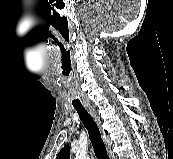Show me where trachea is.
I'll list each match as a JSON object with an SVG mask.
<instances>
[{
	"label": "trachea",
	"instance_id": "3493384b",
	"mask_svg": "<svg viewBox=\"0 0 173 159\" xmlns=\"http://www.w3.org/2000/svg\"><path fill=\"white\" fill-rule=\"evenodd\" d=\"M76 111H77L82 123L84 124V126L86 127V129L88 131L90 141L94 148V152H95L97 159H109L105 144L101 138L99 128H98L96 122L94 121V119L84 108H76Z\"/></svg>",
	"mask_w": 173,
	"mask_h": 159
}]
</instances>
